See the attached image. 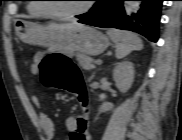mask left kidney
I'll use <instances>...</instances> for the list:
<instances>
[{"instance_id": "left-kidney-1", "label": "left kidney", "mask_w": 182, "mask_h": 140, "mask_svg": "<svg viewBox=\"0 0 182 140\" xmlns=\"http://www.w3.org/2000/svg\"><path fill=\"white\" fill-rule=\"evenodd\" d=\"M134 65L132 62L129 61H123L121 63H118L117 66L113 70V79L116 83L117 88L125 93L127 92L134 81ZM114 105L110 102H104L100 109L103 112L109 111L113 109Z\"/></svg>"}]
</instances>
